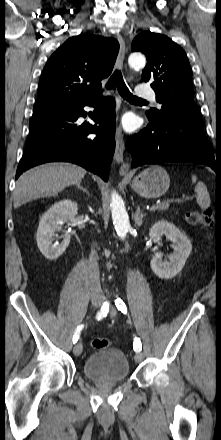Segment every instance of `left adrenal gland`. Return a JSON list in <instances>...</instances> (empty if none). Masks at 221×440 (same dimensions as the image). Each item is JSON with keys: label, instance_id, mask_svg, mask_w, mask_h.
I'll return each instance as SVG.
<instances>
[{"label": "left adrenal gland", "instance_id": "a2214340", "mask_svg": "<svg viewBox=\"0 0 221 440\" xmlns=\"http://www.w3.org/2000/svg\"><path fill=\"white\" fill-rule=\"evenodd\" d=\"M146 216L145 213H142L140 210V206H137L136 212L134 214L135 224L140 227L142 225V220Z\"/></svg>", "mask_w": 221, "mask_h": 440}]
</instances>
